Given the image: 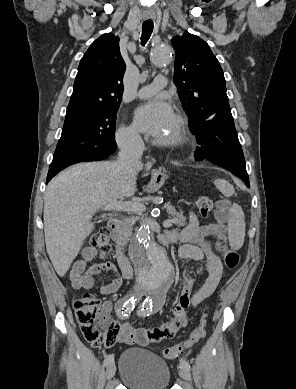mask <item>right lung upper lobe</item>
<instances>
[{
	"instance_id": "cb5924a9",
	"label": "right lung upper lobe",
	"mask_w": 296,
	"mask_h": 389,
	"mask_svg": "<svg viewBox=\"0 0 296 389\" xmlns=\"http://www.w3.org/2000/svg\"><path fill=\"white\" fill-rule=\"evenodd\" d=\"M125 69L119 38L112 33L101 35L80 61L65 119L119 106Z\"/></svg>"
}]
</instances>
